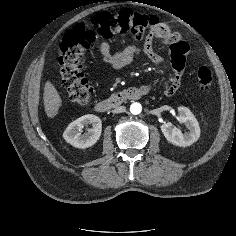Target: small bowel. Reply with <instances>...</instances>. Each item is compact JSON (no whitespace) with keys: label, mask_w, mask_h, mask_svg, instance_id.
<instances>
[{"label":"small bowel","mask_w":236,"mask_h":236,"mask_svg":"<svg viewBox=\"0 0 236 236\" xmlns=\"http://www.w3.org/2000/svg\"><path fill=\"white\" fill-rule=\"evenodd\" d=\"M155 37L156 35L154 33H149L141 47L136 45H128L115 52L111 50V45L108 41H102L99 45V50L104 62L112 70H120L126 67L139 54H143L152 64L162 66L165 63V60L154 49ZM160 42L164 45H169L171 48V63L174 70V75L165 79L161 86L166 95H172L177 92L180 87L181 73L184 68L189 46L187 42L177 34H175L173 39L167 42L161 40ZM143 88H145L148 92L151 90L150 86H144Z\"/></svg>","instance_id":"small-bowel-1"}]
</instances>
